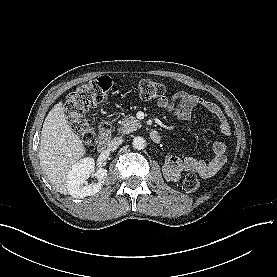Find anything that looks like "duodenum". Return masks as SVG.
<instances>
[{"label": "duodenum", "mask_w": 277, "mask_h": 277, "mask_svg": "<svg viewBox=\"0 0 277 277\" xmlns=\"http://www.w3.org/2000/svg\"><path fill=\"white\" fill-rule=\"evenodd\" d=\"M112 126L108 121H101L97 127V144L99 146L107 142L111 136ZM150 138L152 141L157 142L160 140V134L156 129L150 131Z\"/></svg>", "instance_id": "1"}]
</instances>
